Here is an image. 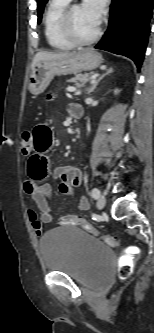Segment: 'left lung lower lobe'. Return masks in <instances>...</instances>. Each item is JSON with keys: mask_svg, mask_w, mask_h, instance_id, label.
<instances>
[{"mask_svg": "<svg viewBox=\"0 0 154 333\" xmlns=\"http://www.w3.org/2000/svg\"><path fill=\"white\" fill-rule=\"evenodd\" d=\"M154 0H112L108 29L95 46L131 58L140 69L150 33Z\"/></svg>", "mask_w": 154, "mask_h": 333, "instance_id": "left-lung-lower-lobe-1", "label": "left lung lower lobe"}]
</instances>
